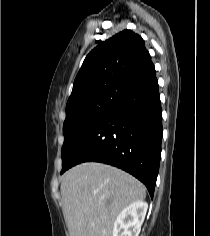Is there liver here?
I'll list each match as a JSON object with an SVG mask.
<instances>
[{
	"mask_svg": "<svg viewBox=\"0 0 210 236\" xmlns=\"http://www.w3.org/2000/svg\"><path fill=\"white\" fill-rule=\"evenodd\" d=\"M60 189L70 236H112L120 212L146 196L140 181L96 162L82 163L67 171Z\"/></svg>",
	"mask_w": 210,
	"mask_h": 236,
	"instance_id": "1",
	"label": "liver"
}]
</instances>
